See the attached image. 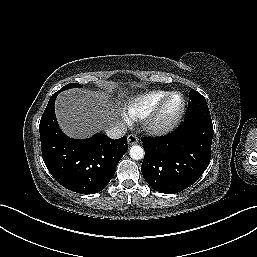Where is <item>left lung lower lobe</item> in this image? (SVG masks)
Segmentation results:
<instances>
[{"instance_id": "0a47b994", "label": "left lung lower lobe", "mask_w": 257, "mask_h": 257, "mask_svg": "<svg viewBox=\"0 0 257 257\" xmlns=\"http://www.w3.org/2000/svg\"><path fill=\"white\" fill-rule=\"evenodd\" d=\"M212 120H185L174 132L160 138H143L145 156L141 171L156 191L174 194L191 186L211 158Z\"/></svg>"}]
</instances>
